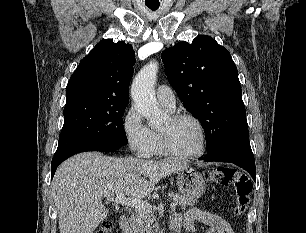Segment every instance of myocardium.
Segmentation results:
<instances>
[{
    "label": "myocardium",
    "instance_id": "f54148a6",
    "mask_svg": "<svg viewBox=\"0 0 306 233\" xmlns=\"http://www.w3.org/2000/svg\"><path fill=\"white\" fill-rule=\"evenodd\" d=\"M170 118L173 122H177V121L184 120V119H188V120L193 121L199 129L200 136H201V144H200L199 150L196 151V152L181 153V152L177 151L171 145L168 134L164 131H160L162 146H163V149H164L165 153L170 155V156L181 158V159H194V158H198V157L202 156L204 154L205 150H206L207 134H206L205 127H204L203 123L201 122V120L197 116H195L191 113H187V112L174 113L170 116Z\"/></svg>",
    "mask_w": 306,
    "mask_h": 233
}]
</instances>
